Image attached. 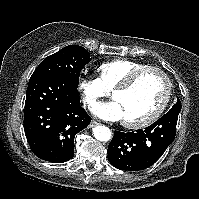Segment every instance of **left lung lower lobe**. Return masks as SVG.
<instances>
[{
    "mask_svg": "<svg viewBox=\"0 0 199 199\" xmlns=\"http://www.w3.org/2000/svg\"><path fill=\"white\" fill-rule=\"evenodd\" d=\"M179 111L170 110L154 124L135 132L115 131L107 153L109 162L124 171L152 166L173 142Z\"/></svg>",
    "mask_w": 199,
    "mask_h": 199,
    "instance_id": "obj_1",
    "label": "left lung lower lobe"
}]
</instances>
